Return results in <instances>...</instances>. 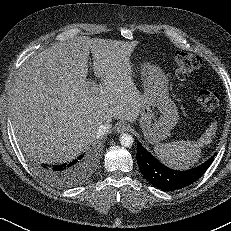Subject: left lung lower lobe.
I'll list each match as a JSON object with an SVG mask.
<instances>
[{"instance_id":"1","label":"left lung lower lobe","mask_w":231,"mask_h":231,"mask_svg":"<svg viewBox=\"0 0 231 231\" xmlns=\"http://www.w3.org/2000/svg\"><path fill=\"white\" fill-rule=\"evenodd\" d=\"M214 156L196 168L177 171L160 163L139 142L137 143L136 159L141 173L153 186L164 191L181 189L195 182L209 168Z\"/></svg>"}]
</instances>
